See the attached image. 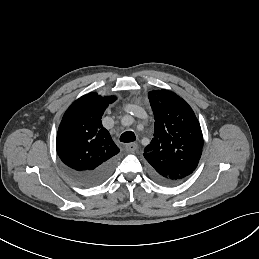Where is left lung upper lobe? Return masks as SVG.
Returning a JSON list of instances; mask_svg holds the SVG:
<instances>
[{
  "label": "left lung upper lobe",
  "mask_w": 259,
  "mask_h": 259,
  "mask_svg": "<svg viewBox=\"0 0 259 259\" xmlns=\"http://www.w3.org/2000/svg\"><path fill=\"white\" fill-rule=\"evenodd\" d=\"M148 98L155 124L154 138L144 150L152 174L180 182L196 169L203 149L200 124L185 100L168 90H153Z\"/></svg>",
  "instance_id": "obj_1"
}]
</instances>
